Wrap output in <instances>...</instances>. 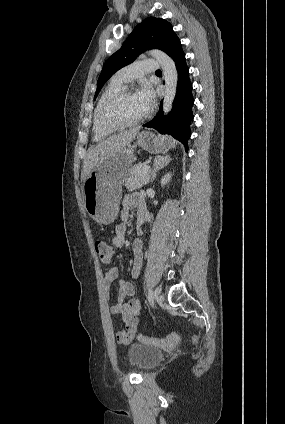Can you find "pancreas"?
I'll return each instance as SVG.
<instances>
[{
    "label": "pancreas",
    "instance_id": "cf45deb5",
    "mask_svg": "<svg viewBox=\"0 0 285 424\" xmlns=\"http://www.w3.org/2000/svg\"><path fill=\"white\" fill-rule=\"evenodd\" d=\"M144 164H138L134 167H132L130 175L128 179L125 181L124 186L129 191H133L135 189L141 188L142 186L148 184L150 179V171L143 176V168Z\"/></svg>",
    "mask_w": 285,
    "mask_h": 424
}]
</instances>
